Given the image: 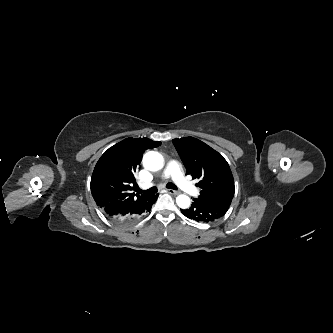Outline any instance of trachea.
I'll return each mask as SVG.
<instances>
[{
    "mask_svg": "<svg viewBox=\"0 0 333 333\" xmlns=\"http://www.w3.org/2000/svg\"><path fill=\"white\" fill-rule=\"evenodd\" d=\"M166 188H168V189H173V190H177V186H176L175 184H173V183H168V184L166 185ZM137 191H138L139 193L155 194V193L157 192V188H156V187H151L150 189H148V190H146V191H143V190H141V189L138 188Z\"/></svg>",
    "mask_w": 333,
    "mask_h": 333,
    "instance_id": "1",
    "label": "trachea"
}]
</instances>
